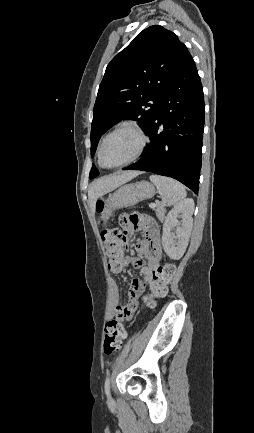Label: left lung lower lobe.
Masks as SVG:
<instances>
[{
	"label": "left lung lower lobe",
	"instance_id": "left-lung-lower-lobe-1",
	"mask_svg": "<svg viewBox=\"0 0 254 433\" xmlns=\"http://www.w3.org/2000/svg\"><path fill=\"white\" fill-rule=\"evenodd\" d=\"M204 95L188 52L167 86L146 130L150 144L143 157L124 170L148 171L174 178L195 194L201 169Z\"/></svg>",
	"mask_w": 254,
	"mask_h": 433
}]
</instances>
